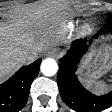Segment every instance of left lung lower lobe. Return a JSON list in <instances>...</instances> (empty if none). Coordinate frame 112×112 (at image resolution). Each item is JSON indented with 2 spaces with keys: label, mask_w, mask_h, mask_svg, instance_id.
I'll return each instance as SVG.
<instances>
[{
  "label": "left lung lower lobe",
  "mask_w": 112,
  "mask_h": 112,
  "mask_svg": "<svg viewBox=\"0 0 112 112\" xmlns=\"http://www.w3.org/2000/svg\"><path fill=\"white\" fill-rule=\"evenodd\" d=\"M105 29L112 33V24ZM102 31L93 38L96 39ZM86 39L72 43L70 51L60 59L57 84L63 101L76 112H100L112 106V91L96 96L87 91L79 82L75 72L79 59L87 52Z\"/></svg>",
  "instance_id": "left-lung-lower-lobe-1"
}]
</instances>
